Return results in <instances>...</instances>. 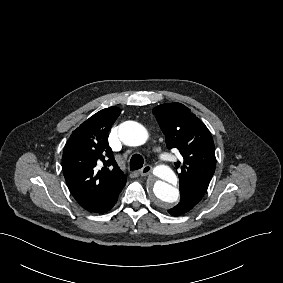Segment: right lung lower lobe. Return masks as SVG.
<instances>
[{
	"label": "right lung lower lobe",
	"instance_id": "obj_1",
	"mask_svg": "<svg viewBox=\"0 0 283 283\" xmlns=\"http://www.w3.org/2000/svg\"><path fill=\"white\" fill-rule=\"evenodd\" d=\"M121 190L119 192L115 193V195L110 199V201L106 205H104L102 208H100L96 211H89V212L97 213V214H103V213H106L107 211H109L114 206V204L117 202V199H118V196H119Z\"/></svg>",
	"mask_w": 283,
	"mask_h": 283
}]
</instances>
